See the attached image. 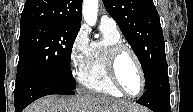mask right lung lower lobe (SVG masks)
<instances>
[{
    "label": "right lung lower lobe",
    "mask_w": 193,
    "mask_h": 112,
    "mask_svg": "<svg viewBox=\"0 0 193 112\" xmlns=\"http://www.w3.org/2000/svg\"><path fill=\"white\" fill-rule=\"evenodd\" d=\"M14 94L15 112H22L27 105L40 97L51 94L72 95L75 90L46 79H30L16 85Z\"/></svg>",
    "instance_id": "obj_1"
}]
</instances>
